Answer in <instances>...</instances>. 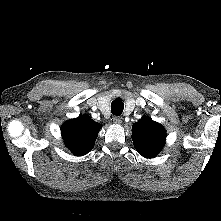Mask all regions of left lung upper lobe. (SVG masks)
Listing matches in <instances>:
<instances>
[{"label": "left lung upper lobe", "mask_w": 221, "mask_h": 221, "mask_svg": "<svg viewBox=\"0 0 221 221\" xmlns=\"http://www.w3.org/2000/svg\"><path fill=\"white\" fill-rule=\"evenodd\" d=\"M166 131L162 125L144 116L132 126L136 150L146 158L155 157L164 147Z\"/></svg>", "instance_id": "1"}]
</instances>
